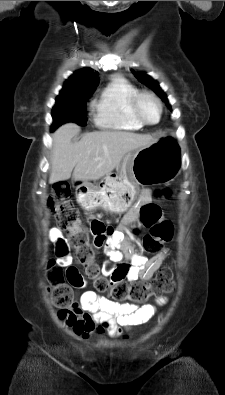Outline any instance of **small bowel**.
<instances>
[{"mask_svg":"<svg viewBox=\"0 0 225 395\" xmlns=\"http://www.w3.org/2000/svg\"><path fill=\"white\" fill-rule=\"evenodd\" d=\"M144 196L146 198L147 194ZM138 215L139 206H134L126 214V223L135 222ZM91 231L94 235V247L104 248L110 257V261L102 267V274L111 281L127 280L133 283L138 280H149L168 255V250L162 249L156 255L146 257L135 252L126 243L121 245V251L116 250L122 241V232H113L98 219L92 220ZM49 238L56 254V266H60V270H66L67 281H71V292H82L78 302L73 303L67 310L58 311L59 319L76 336L88 339L91 336L107 334L113 338L127 339L128 329L146 323L155 314L154 305L138 307L129 303H115L97 295L96 288H87L86 279H82L81 267L71 263L73 249L68 237H62L59 229L52 228ZM156 302L158 305H164L167 299L159 297Z\"/></svg>","mask_w":225,"mask_h":395,"instance_id":"c3829d8e","label":"small bowel"}]
</instances>
